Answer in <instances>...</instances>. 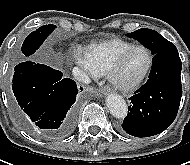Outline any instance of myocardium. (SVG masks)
<instances>
[{
	"label": "myocardium",
	"mask_w": 190,
	"mask_h": 165,
	"mask_svg": "<svg viewBox=\"0 0 190 165\" xmlns=\"http://www.w3.org/2000/svg\"><path fill=\"white\" fill-rule=\"evenodd\" d=\"M136 49H143L147 52L148 57H149L148 65H147L145 71L143 72V74L139 78H137L136 80L131 81V82H123L119 78L120 70L123 66V63H124V60L126 59V57L132 51H134ZM153 64H154V56L148 47H146L144 45H133V46L129 47L128 49L124 50L118 56V58L116 59L114 65L112 66V68L108 74V79H109L110 83L113 85V87H115L116 89L121 90V91H130V90L137 88L145 81V79L148 77V75L150 74V72L153 68Z\"/></svg>",
	"instance_id": "obj_1"
}]
</instances>
